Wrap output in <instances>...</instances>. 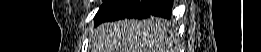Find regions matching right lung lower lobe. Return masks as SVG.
<instances>
[{
    "label": "right lung lower lobe",
    "instance_id": "obj_1",
    "mask_svg": "<svg viewBox=\"0 0 261 52\" xmlns=\"http://www.w3.org/2000/svg\"><path fill=\"white\" fill-rule=\"evenodd\" d=\"M172 0H107L95 16V25L123 18H170Z\"/></svg>",
    "mask_w": 261,
    "mask_h": 52
}]
</instances>
